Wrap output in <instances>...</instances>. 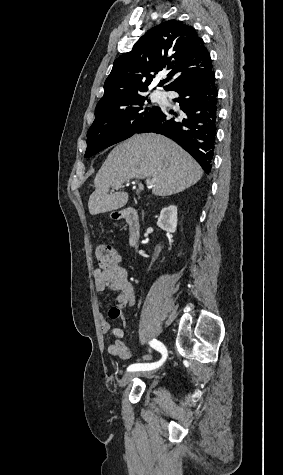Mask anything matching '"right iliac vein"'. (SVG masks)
I'll return each mask as SVG.
<instances>
[{
  "instance_id": "obj_1",
  "label": "right iliac vein",
  "mask_w": 283,
  "mask_h": 475,
  "mask_svg": "<svg viewBox=\"0 0 283 475\" xmlns=\"http://www.w3.org/2000/svg\"><path fill=\"white\" fill-rule=\"evenodd\" d=\"M154 372H128L126 373L123 378L120 380L119 382V386L120 387H124L126 386L127 383H129L133 378L137 377V376H150L151 374H153Z\"/></svg>"
}]
</instances>
